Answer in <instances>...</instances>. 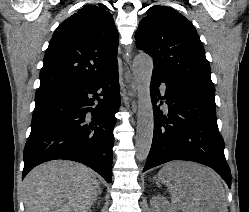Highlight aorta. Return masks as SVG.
<instances>
[{
  "instance_id": "762f6f07",
  "label": "aorta",
  "mask_w": 249,
  "mask_h": 212,
  "mask_svg": "<svg viewBox=\"0 0 249 212\" xmlns=\"http://www.w3.org/2000/svg\"><path fill=\"white\" fill-rule=\"evenodd\" d=\"M132 67L138 97L135 151L136 158L144 161L148 157L154 131V113L150 96L153 60L147 54L141 53L135 56Z\"/></svg>"
}]
</instances>
